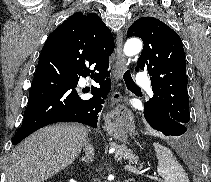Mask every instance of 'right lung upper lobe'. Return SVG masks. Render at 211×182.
I'll list each match as a JSON object with an SVG mask.
<instances>
[{
  "mask_svg": "<svg viewBox=\"0 0 211 182\" xmlns=\"http://www.w3.org/2000/svg\"><path fill=\"white\" fill-rule=\"evenodd\" d=\"M64 24L85 51H93L101 62H108L114 51V39L109 28L97 14L77 12L60 26Z\"/></svg>",
  "mask_w": 211,
  "mask_h": 182,
  "instance_id": "cb5924a9",
  "label": "right lung upper lobe"
}]
</instances>
